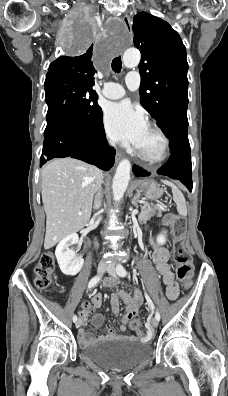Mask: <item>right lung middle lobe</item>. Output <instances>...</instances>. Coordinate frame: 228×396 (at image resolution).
Instances as JSON below:
<instances>
[{
    "instance_id": "obj_1",
    "label": "right lung middle lobe",
    "mask_w": 228,
    "mask_h": 396,
    "mask_svg": "<svg viewBox=\"0 0 228 396\" xmlns=\"http://www.w3.org/2000/svg\"><path fill=\"white\" fill-rule=\"evenodd\" d=\"M93 40L90 27L79 28L73 40V49L83 51ZM45 101L48 105L47 126L57 122L94 126L102 112L98 96L88 85L72 78L45 80Z\"/></svg>"
}]
</instances>
